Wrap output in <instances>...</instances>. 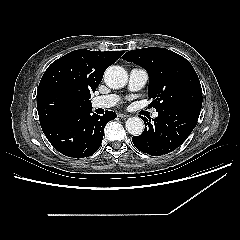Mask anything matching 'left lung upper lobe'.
I'll return each instance as SVG.
<instances>
[{
    "instance_id": "left-lung-upper-lobe-1",
    "label": "left lung upper lobe",
    "mask_w": 240,
    "mask_h": 240,
    "mask_svg": "<svg viewBox=\"0 0 240 240\" xmlns=\"http://www.w3.org/2000/svg\"><path fill=\"white\" fill-rule=\"evenodd\" d=\"M123 59L149 74L148 96L157 112L187 105L202 106L199 78L188 60L165 48L149 47L127 52Z\"/></svg>"
}]
</instances>
